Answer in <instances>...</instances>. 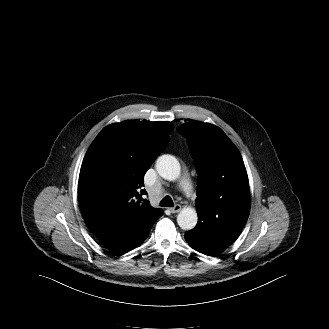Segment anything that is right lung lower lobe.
Returning <instances> with one entry per match:
<instances>
[{"mask_svg": "<svg viewBox=\"0 0 329 329\" xmlns=\"http://www.w3.org/2000/svg\"><path fill=\"white\" fill-rule=\"evenodd\" d=\"M161 215L154 217L144 226L112 230L98 239L108 250L120 256L135 247H139L148 237L153 224Z\"/></svg>", "mask_w": 329, "mask_h": 329, "instance_id": "obj_1", "label": "right lung lower lobe"}]
</instances>
